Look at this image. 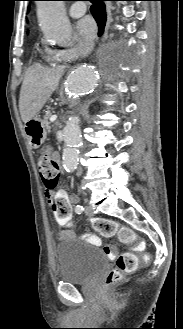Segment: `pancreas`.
Instances as JSON below:
<instances>
[{"instance_id": "1", "label": "pancreas", "mask_w": 183, "mask_h": 329, "mask_svg": "<svg viewBox=\"0 0 183 329\" xmlns=\"http://www.w3.org/2000/svg\"><path fill=\"white\" fill-rule=\"evenodd\" d=\"M50 117H51V114L48 113V114L45 115L44 120H43V123H44V125H45V127L48 131L50 130V122L48 121V119Z\"/></svg>"}]
</instances>
